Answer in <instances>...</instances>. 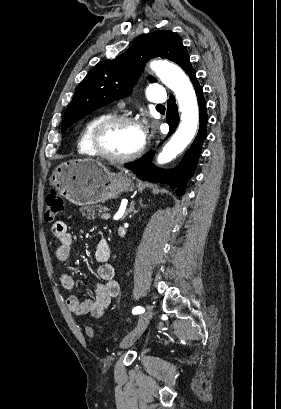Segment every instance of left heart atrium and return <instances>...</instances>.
<instances>
[{
    "mask_svg": "<svg viewBox=\"0 0 281 409\" xmlns=\"http://www.w3.org/2000/svg\"><path fill=\"white\" fill-rule=\"evenodd\" d=\"M141 133H142L143 139H145V138H146V135H147V132H146L145 130H142Z\"/></svg>",
    "mask_w": 281,
    "mask_h": 409,
    "instance_id": "left-heart-atrium-1",
    "label": "left heart atrium"
}]
</instances>
